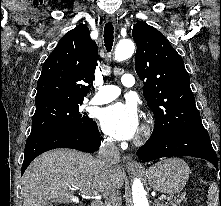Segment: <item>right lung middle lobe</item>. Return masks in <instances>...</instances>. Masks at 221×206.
Masks as SVG:
<instances>
[{
	"instance_id": "right-lung-middle-lobe-1",
	"label": "right lung middle lobe",
	"mask_w": 221,
	"mask_h": 206,
	"mask_svg": "<svg viewBox=\"0 0 221 206\" xmlns=\"http://www.w3.org/2000/svg\"><path fill=\"white\" fill-rule=\"evenodd\" d=\"M82 102L51 103L36 107L30 134L48 130L84 129L95 122L79 111Z\"/></svg>"
}]
</instances>
